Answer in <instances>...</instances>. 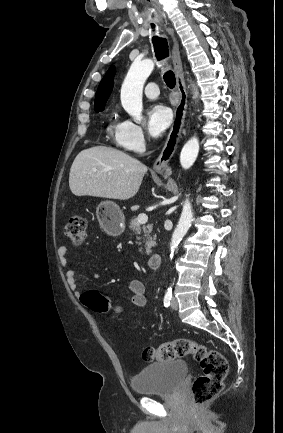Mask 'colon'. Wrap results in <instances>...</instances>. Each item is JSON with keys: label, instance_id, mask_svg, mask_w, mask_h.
<instances>
[{"label": "colon", "instance_id": "obj_1", "mask_svg": "<svg viewBox=\"0 0 283 433\" xmlns=\"http://www.w3.org/2000/svg\"><path fill=\"white\" fill-rule=\"evenodd\" d=\"M64 236L75 246L85 244L87 224L84 216L71 215L64 228ZM80 299L86 308L95 313L103 314L111 310L108 300L98 291H87ZM112 310L115 314L121 311L120 307H114ZM142 356L145 361H170L193 356L202 369V374L196 378L192 387L196 405L205 404L222 391L229 369L228 361L221 352L187 338H178L155 347H147Z\"/></svg>", "mask_w": 283, "mask_h": 433}]
</instances>
